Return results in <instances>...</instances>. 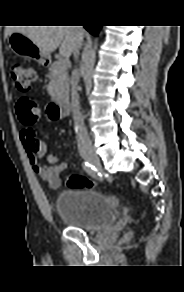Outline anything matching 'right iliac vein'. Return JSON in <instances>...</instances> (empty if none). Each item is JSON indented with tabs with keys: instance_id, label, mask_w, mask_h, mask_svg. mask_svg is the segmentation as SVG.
I'll list each match as a JSON object with an SVG mask.
<instances>
[{
	"instance_id": "1",
	"label": "right iliac vein",
	"mask_w": 184,
	"mask_h": 292,
	"mask_svg": "<svg viewBox=\"0 0 184 292\" xmlns=\"http://www.w3.org/2000/svg\"><path fill=\"white\" fill-rule=\"evenodd\" d=\"M84 158L90 162L91 164H93L95 167L100 168V160L98 158V156L94 155V154H85Z\"/></svg>"
}]
</instances>
